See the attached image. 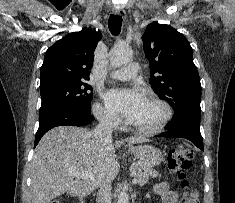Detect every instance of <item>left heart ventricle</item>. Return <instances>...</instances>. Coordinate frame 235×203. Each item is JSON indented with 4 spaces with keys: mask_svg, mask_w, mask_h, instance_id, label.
<instances>
[{
    "mask_svg": "<svg viewBox=\"0 0 235 203\" xmlns=\"http://www.w3.org/2000/svg\"><path fill=\"white\" fill-rule=\"evenodd\" d=\"M161 116V108L156 104L146 101L130 123L137 127H151L160 120Z\"/></svg>",
    "mask_w": 235,
    "mask_h": 203,
    "instance_id": "1",
    "label": "left heart ventricle"
}]
</instances>
